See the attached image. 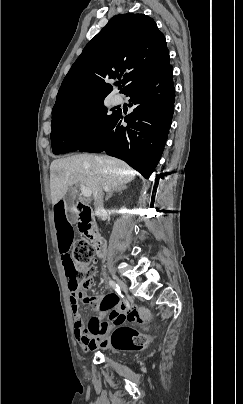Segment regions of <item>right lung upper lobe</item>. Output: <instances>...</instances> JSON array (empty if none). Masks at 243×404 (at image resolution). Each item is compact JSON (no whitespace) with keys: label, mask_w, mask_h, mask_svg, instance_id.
I'll list each match as a JSON object with an SVG mask.
<instances>
[{"label":"right lung upper lobe","mask_w":243,"mask_h":404,"mask_svg":"<svg viewBox=\"0 0 243 404\" xmlns=\"http://www.w3.org/2000/svg\"><path fill=\"white\" fill-rule=\"evenodd\" d=\"M164 35L144 14H122L89 41L64 78L52 117L106 97L109 79L124 77L121 93L163 72L170 64ZM125 73V74H124Z\"/></svg>","instance_id":"obj_1"}]
</instances>
